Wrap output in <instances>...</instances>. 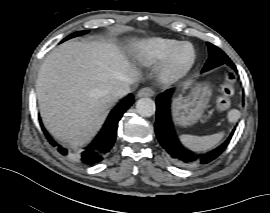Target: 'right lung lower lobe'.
<instances>
[{
  "instance_id": "1",
  "label": "right lung lower lobe",
  "mask_w": 270,
  "mask_h": 213,
  "mask_svg": "<svg viewBox=\"0 0 270 213\" xmlns=\"http://www.w3.org/2000/svg\"><path fill=\"white\" fill-rule=\"evenodd\" d=\"M134 103V97L130 94L123 99L116 107L110 112L103 128L92 141L90 145L79 152L77 158L84 164H94L103 159V157L110 151L116 140V132L118 122L123 113ZM42 125V124H41ZM42 130L49 143L57 146L58 151L62 155H69V150L59 145L42 126Z\"/></svg>"
}]
</instances>
